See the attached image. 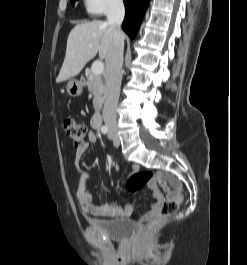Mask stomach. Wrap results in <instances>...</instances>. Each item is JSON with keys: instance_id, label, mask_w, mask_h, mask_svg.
Here are the masks:
<instances>
[{"instance_id": "obj_1", "label": "stomach", "mask_w": 247, "mask_h": 265, "mask_svg": "<svg viewBox=\"0 0 247 265\" xmlns=\"http://www.w3.org/2000/svg\"><path fill=\"white\" fill-rule=\"evenodd\" d=\"M83 82L77 79H70L67 83V93L71 97H78L82 94Z\"/></svg>"}]
</instances>
